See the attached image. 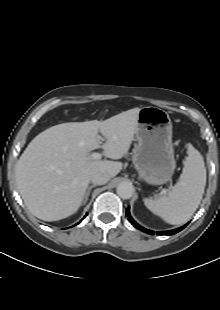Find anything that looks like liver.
Masks as SVG:
<instances>
[{
  "label": "liver",
  "mask_w": 220,
  "mask_h": 310,
  "mask_svg": "<svg viewBox=\"0 0 220 310\" xmlns=\"http://www.w3.org/2000/svg\"><path fill=\"white\" fill-rule=\"evenodd\" d=\"M140 108H133L104 121L70 122L38 134L16 163L18 191L29 211L44 221H57L74 214L84 199L95 173L115 177L122 169L116 161H98L90 152L121 159L130 149L138 126ZM98 132L106 142L100 145Z\"/></svg>",
  "instance_id": "1"
}]
</instances>
